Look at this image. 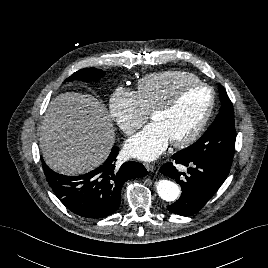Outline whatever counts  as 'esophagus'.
I'll use <instances>...</instances> for the list:
<instances>
[{"label": "esophagus", "instance_id": "esophagus-1", "mask_svg": "<svg viewBox=\"0 0 268 268\" xmlns=\"http://www.w3.org/2000/svg\"><path fill=\"white\" fill-rule=\"evenodd\" d=\"M145 168L147 171H153L154 170V165L152 163H144Z\"/></svg>", "mask_w": 268, "mask_h": 268}]
</instances>
